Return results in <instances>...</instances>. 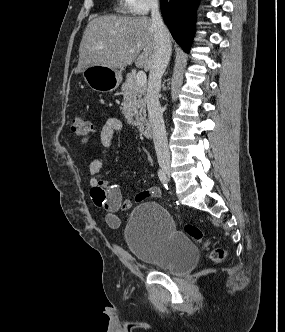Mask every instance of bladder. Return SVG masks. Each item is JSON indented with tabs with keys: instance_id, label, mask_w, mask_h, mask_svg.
<instances>
[{
	"instance_id": "31cf9c89",
	"label": "bladder",
	"mask_w": 285,
	"mask_h": 332,
	"mask_svg": "<svg viewBox=\"0 0 285 332\" xmlns=\"http://www.w3.org/2000/svg\"><path fill=\"white\" fill-rule=\"evenodd\" d=\"M124 239L135 259L172 274L185 273L199 258L196 245L175 229L171 214L155 202L140 203L132 210Z\"/></svg>"
}]
</instances>
